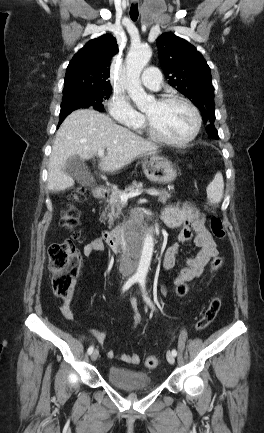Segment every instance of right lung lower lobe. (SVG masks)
Here are the masks:
<instances>
[{
    "instance_id": "1",
    "label": "right lung lower lobe",
    "mask_w": 264,
    "mask_h": 433,
    "mask_svg": "<svg viewBox=\"0 0 264 433\" xmlns=\"http://www.w3.org/2000/svg\"><path fill=\"white\" fill-rule=\"evenodd\" d=\"M62 122H63V120H60L58 126H59Z\"/></svg>"
}]
</instances>
